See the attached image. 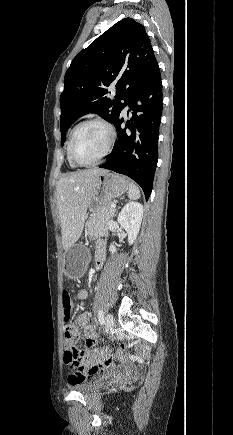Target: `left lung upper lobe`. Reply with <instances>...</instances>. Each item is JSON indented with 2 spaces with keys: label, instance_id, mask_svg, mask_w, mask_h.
<instances>
[{
  "label": "left lung upper lobe",
  "instance_id": "5c2ea615",
  "mask_svg": "<svg viewBox=\"0 0 233 435\" xmlns=\"http://www.w3.org/2000/svg\"><path fill=\"white\" fill-rule=\"evenodd\" d=\"M156 65L144 26L131 18L117 22L78 53L60 96L62 145L68 128L82 115L97 113L114 124ZM109 86L116 87L115 99L107 97Z\"/></svg>",
  "mask_w": 233,
  "mask_h": 435
}]
</instances>
